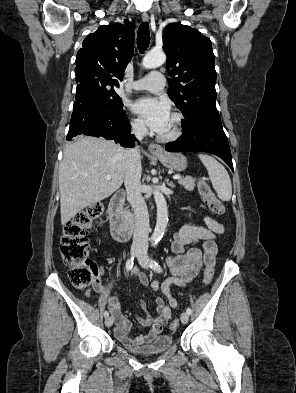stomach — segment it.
I'll use <instances>...</instances> for the list:
<instances>
[{
    "label": "stomach",
    "mask_w": 296,
    "mask_h": 393,
    "mask_svg": "<svg viewBox=\"0 0 296 393\" xmlns=\"http://www.w3.org/2000/svg\"><path fill=\"white\" fill-rule=\"evenodd\" d=\"M159 161L168 169L174 171H183L187 167V159L180 153H167L164 152L159 155H155Z\"/></svg>",
    "instance_id": "obj_1"
}]
</instances>
